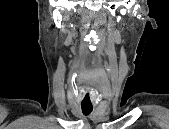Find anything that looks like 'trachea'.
Instances as JSON below:
<instances>
[{
    "label": "trachea",
    "instance_id": "obj_1",
    "mask_svg": "<svg viewBox=\"0 0 169 129\" xmlns=\"http://www.w3.org/2000/svg\"><path fill=\"white\" fill-rule=\"evenodd\" d=\"M81 108H82V112H83L84 115H89L93 110L92 106L82 105Z\"/></svg>",
    "mask_w": 169,
    "mask_h": 129
}]
</instances>
